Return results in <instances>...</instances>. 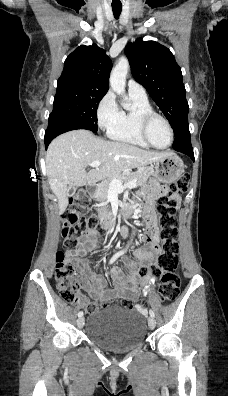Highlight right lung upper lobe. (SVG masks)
Masks as SVG:
<instances>
[{"label":"right lung upper lobe","mask_w":228,"mask_h":396,"mask_svg":"<svg viewBox=\"0 0 228 396\" xmlns=\"http://www.w3.org/2000/svg\"><path fill=\"white\" fill-rule=\"evenodd\" d=\"M112 62L96 44L79 46L64 62L57 87L75 86L107 92Z\"/></svg>","instance_id":"obj_1"}]
</instances>
